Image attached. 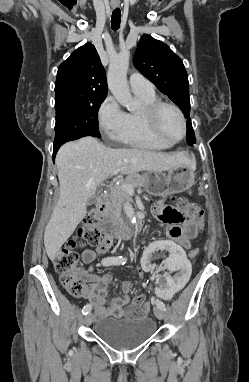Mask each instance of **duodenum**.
Returning a JSON list of instances; mask_svg holds the SVG:
<instances>
[{"mask_svg":"<svg viewBox=\"0 0 249 382\" xmlns=\"http://www.w3.org/2000/svg\"><path fill=\"white\" fill-rule=\"evenodd\" d=\"M107 208V196L101 193L97 199V210L101 215H104ZM143 223V218L140 216H138L135 221L128 222L105 217L102 221V229L107 237L128 238L140 232Z\"/></svg>","mask_w":249,"mask_h":382,"instance_id":"1","label":"duodenum"}]
</instances>
